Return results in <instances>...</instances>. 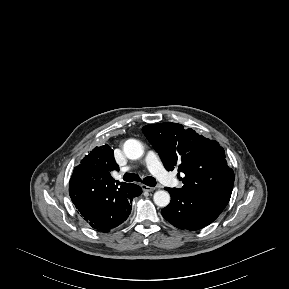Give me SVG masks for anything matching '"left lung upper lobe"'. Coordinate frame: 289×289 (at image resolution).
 <instances>
[{"label":"left lung upper lobe","instance_id":"left-lung-upper-lobe-1","mask_svg":"<svg viewBox=\"0 0 289 289\" xmlns=\"http://www.w3.org/2000/svg\"><path fill=\"white\" fill-rule=\"evenodd\" d=\"M142 131L159 153L165 168L177 169L184 177L182 188H173L209 201L222 209L228 204L234 172L228 167L225 151L215 140L199 135L177 123L146 125Z\"/></svg>","mask_w":289,"mask_h":289}]
</instances>
